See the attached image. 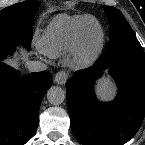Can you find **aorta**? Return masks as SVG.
Returning <instances> with one entry per match:
<instances>
[{"instance_id":"aorta-1","label":"aorta","mask_w":145,"mask_h":145,"mask_svg":"<svg viewBox=\"0 0 145 145\" xmlns=\"http://www.w3.org/2000/svg\"><path fill=\"white\" fill-rule=\"evenodd\" d=\"M65 98L66 93L61 87L53 86L47 92V100L53 105H59L63 103Z\"/></svg>"}]
</instances>
